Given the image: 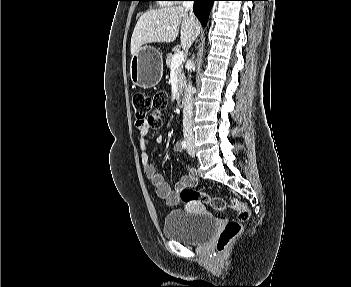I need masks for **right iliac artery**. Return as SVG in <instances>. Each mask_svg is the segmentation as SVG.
<instances>
[{
    "label": "right iliac artery",
    "instance_id": "right-iliac-artery-1",
    "mask_svg": "<svg viewBox=\"0 0 351 287\" xmlns=\"http://www.w3.org/2000/svg\"><path fill=\"white\" fill-rule=\"evenodd\" d=\"M181 144H182L183 149H186V148H187V142H186L185 140H183V141L181 142Z\"/></svg>",
    "mask_w": 351,
    "mask_h": 287
}]
</instances>
